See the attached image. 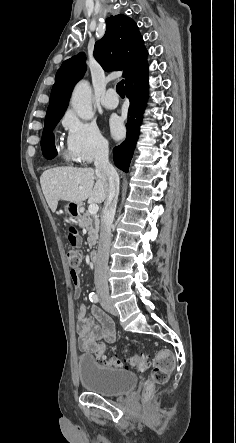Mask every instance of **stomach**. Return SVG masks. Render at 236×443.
<instances>
[{
    "instance_id": "0dacf381",
    "label": "stomach",
    "mask_w": 236,
    "mask_h": 443,
    "mask_svg": "<svg viewBox=\"0 0 236 443\" xmlns=\"http://www.w3.org/2000/svg\"><path fill=\"white\" fill-rule=\"evenodd\" d=\"M65 213L73 219H78L80 218V213H81V205L80 204H76L73 202L68 203L65 206Z\"/></svg>"
}]
</instances>
